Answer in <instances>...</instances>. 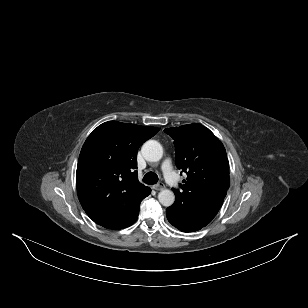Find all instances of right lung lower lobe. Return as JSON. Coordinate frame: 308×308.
I'll list each match as a JSON object with an SVG mask.
<instances>
[{"instance_id":"obj_1","label":"right lung lower lobe","mask_w":308,"mask_h":308,"mask_svg":"<svg viewBox=\"0 0 308 308\" xmlns=\"http://www.w3.org/2000/svg\"><path fill=\"white\" fill-rule=\"evenodd\" d=\"M151 191V190H150ZM150 191H149V193H148V195L150 194ZM147 195V196H148ZM146 196V197H147ZM138 213H139V206H138V208H137V211H136V213L132 216V218L130 219V221L128 222V224L125 226V227H127V226H130L131 224H133L135 221H136V219H137V217H138ZM124 227V228H125Z\"/></svg>"}]
</instances>
